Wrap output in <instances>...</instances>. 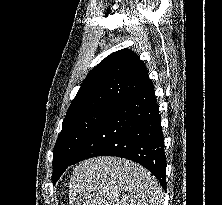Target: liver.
I'll use <instances>...</instances> for the list:
<instances>
[{"instance_id": "6515ba94", "label": "liver", "mask_w": 222, "mask_h": 205, "mask_svg": "<svg viewBox=\"0 0 222 205\" xmlns=\"http://www.w3.org/2000/svg\"><path fill=\"white\" fill-rule=\"evenodd\" d=\"M163 196L148 170L111 156L80 162L69 184L70 205H163Z\"/></svg>"}]
</instances>
